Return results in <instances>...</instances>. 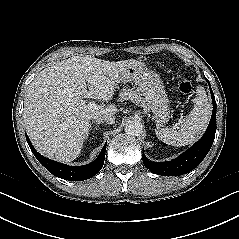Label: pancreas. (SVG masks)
Returning <instances> with one entry per match:
<instances>
[{
	"mask_svg": "<svg viewBox=\"0 0 239 239\" xmlns=\"http://www.w3.org/2000/svg\"><path fill=\"white\" fill-rule=\"evenodd\" d=\"M126 100H131L136 105L141 107H145L144 100L140 96V94L134 89H123L119 94V101L123 102Z\"/></svg>",
	"mask_w": 239,
	"mask_h": 239,
	"instance_id": "cf45deb5",
	"label": "pancreas"
}]
</instances>
